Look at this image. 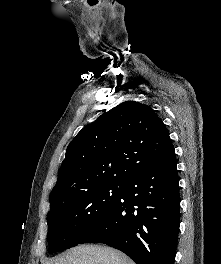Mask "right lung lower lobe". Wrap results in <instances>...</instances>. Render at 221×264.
I'll return each instance as SVG.
<instances>
[{
    "instance_id": "right-lung-lower-lobe-1",
    "label": "right lung lower lobe",
    "mask_w": 221,
    "mask_h": 264,
    "mask_svg": "<svg viewBox=\"0 0 221 264\" xmlns=\"http://www.w3.org/2000/svg\"><path fill=\"white\" fill-rule=\"evenodd\" d=\"M112 211L82 243H104L137 264H174L180 225L176 157L124 182Z\"/></svg>"
}]
</instances>
